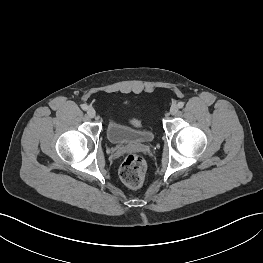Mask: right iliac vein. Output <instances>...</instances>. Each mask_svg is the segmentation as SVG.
<instances>
[{
    "label": "right iliac vein",
    "instance_id": "obj_1",
    "mask_svg": "<svg viewBox=\"0 0 263 263\" xmlns=\"http://www.w3.org/2000/svg\"><path fill=\"white\" fill-rule=\"evenodd\" d=\"M87 115L90 117V118H94L96 116V111L94 108L92 107H89L87 109Z\"/></svg>",
    "mask_w": 263,
    "mask_h": 263
}]
</instances>
